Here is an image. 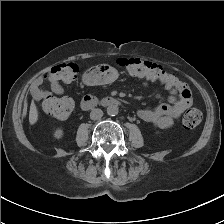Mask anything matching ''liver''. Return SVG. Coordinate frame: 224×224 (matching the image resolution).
<instances>
[{
  "label": "liver",
  "instance_id": "liver-1",
  "mask_svg": "<svg viewBox=\"0 0 224 224\" xmlns=\"http://www.w3.org/2000/svg\"><path fill=\"white\" fill-rule=\"evenodd\" d=\"M38 118H39V111L36 107L34 99H32L29 108V125L34 126L38 122Z\"/></svg>",
  "mask_w": 224,
  "mask_h": 224
}]
</instances>
